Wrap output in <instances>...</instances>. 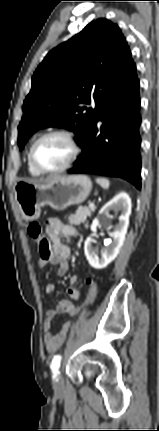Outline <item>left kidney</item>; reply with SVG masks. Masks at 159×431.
<instances>
[{"label":"left kidney","instance_id":"5707ae66","mask_svg":"<svg viewBox=\"0 0 159 431\" xmlns=\"http://www.w3.org/2000/svg\"><path fill=\"white\" fill-rule=\"evenodd\" d=\"M131 199L125 192H120L111 201L105 204L99 211L98 216L94 219L91 230L93 236H96L97 228L110 223L109 212L113 210L115 213L120 212L119 222L114 226V230L109 233L112 240L107 244L106 249L101 256L98 255L96 249L93 248V238L88 237L84 244L85 256L91 267L94 269H103L110 264L118 255L122 247L129 225V216L131 214Z\"/></svg>","mask_w":159,"mask_h":431}]
</instances>
